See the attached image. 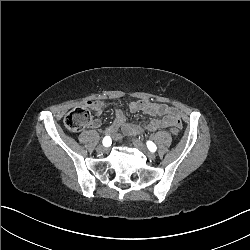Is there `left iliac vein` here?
Here are the masks:
<instances>
[{
  "instance_id": "4c4485c4",
  "label": "left iliac vein",
  "mask_w": 250,
  "mask_h": 250,
  "mask_svg": "<svg viewBox=\"0 0 250 250\" xmlns=\"http://www.w3.org/2000/svg\"><path fill=\"white\" fill-rule=\"evenodd\" d=\"M132 143H133V145H134L137 149H139L142 153H144L145 156H146L148 159H151V160H154V159H155V157H156L155 154L152 153V152H150V151H148L147 148H146V146L143 144V142H141V141L138 140V139H133V140H132Z\"/></svg>"
}]
</instances>
